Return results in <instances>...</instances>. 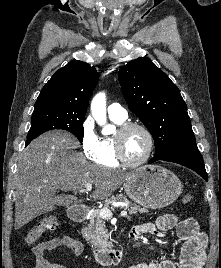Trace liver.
<instances>
[{
	"label": "liver",
	"instance_id": "6515ba94",
	"mask_svg": "<svg viewBox=\"0 0 221 268\" xmlns=\"http://www.w3.org/2000/svg\"><path fill=\"white\" fill-rule=\"evenodd\" d=\"M75 138L66 132L50 131L34 139L22 152L16 172V230L53 211L59 204L57 190L77 191L94 184V199L109 197L133 172L108 169L90 163L80 152Z\"/></svg>",
	"mask_w": 221,
	"mask_h": 268
}]
</instances>
